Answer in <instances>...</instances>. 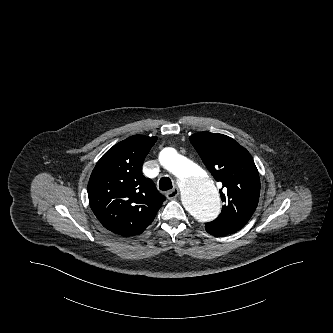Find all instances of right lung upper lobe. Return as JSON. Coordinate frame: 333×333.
<instances>
[{"label":"right lung upper lobe","mask_w":333,"mask_h":333,"mask_svg":"<svg viewBox=\"0 0 333 333\" xmlns=\"http://www.w3.org/2000/svg\"><path fill=\"white\" fill-rule=\"evenodd\" d=\"M156 141L157 137L131 136L109 149L92 171L90 207L101 224L116 234H141L166 199L142 174L144 159Z\"/></svg>","instance_id":"1"}]
</instances>
